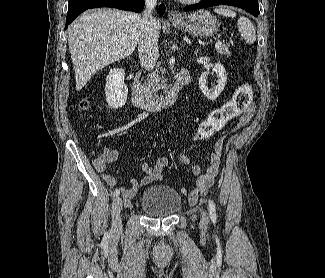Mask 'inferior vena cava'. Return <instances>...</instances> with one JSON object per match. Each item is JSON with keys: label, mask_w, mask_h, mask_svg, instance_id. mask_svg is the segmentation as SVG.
Returning a JSON list of instances; mask_svg holds the SVG:
<instances>
[{"label": "inferior vena cava", "mask_w": 325, "mask_h": 278, "mask_svg": "<svg viewBox=\"0 0 325 278\" xmlns=\"http://www.w3.org/2000/svg\"><path fill=\"white\" fill-rule=\"evenodd\" d=\"M157 0H145V10L142 15L138 52L141 65L148 71L154 68L158 59L159 29L157 20L153 17V8Z\"/></svg>", "instance_id": "602c4592"}]
</instances>
